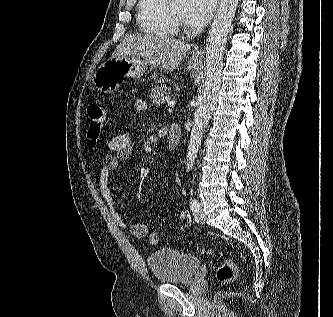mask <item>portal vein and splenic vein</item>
I'll list each match as a JSON object with an SVG mask.
<instances>
[{"instance_id":"18ae733b","label":"portal vein and splenic vein","mask_w":333,"mask_h":317,"mask_svg":"<svg viewBox=\"0 0 333 317\" xmlns=\"http://www.w3.org/2000/svg\"><path fill=\"white\" fill-rule=\"evenodd\" d=\"M165 101L167 102V105H168V107H173V106H175V101H173V100H170L169 98H165Z\"/></svg>"}]
</instances>
